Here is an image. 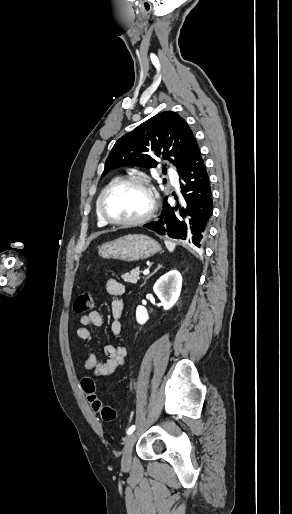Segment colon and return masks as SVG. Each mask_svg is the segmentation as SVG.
Returning a JSON list of instances; mask_svg holds the SVG:
<instances>
[{
  "instance_id": "5ec220e1",
  "label": "colon",
  "mask_w": 292,
  "mask_h": 514,
  "mask_svg": "<svg viewBox=\"0 0 292 514\" xmlns=\"http://www.w3.org/2000/svg\"><path fill=\"white\" fill-rule=\"evenodd\" d=\"M93 307V295L91 292L80 293L75 302L74 310L78 314H85ZM82 388L86 393H90L88 403L92 405L93 409L100 415L104 421L112 420L116 416V411L113 407L103 404L96 396H93L97 389L95 388L94 380L90 373H85L82 379Z\"/></svg>"
}]
</instances>
